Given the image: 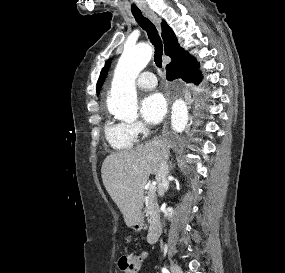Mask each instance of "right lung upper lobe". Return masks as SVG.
Returning a JSON list of instances; mask_svg holds the SVG:
<instances>
[{
	"label": "right lung upper lobe",
	"mask_w": 285,
	"mask_h": 273,
	"mask_svg": "<svg viewBox=\"0 0 285 273\" xmlns=\"http://www.w3.org/2000/svg\"><path fill=\"white\" fill-rule=\"evenodd\" d=\"M161 27L165 54L170 56L172 59L171 63L167 66L187 59L189 57L188 52L184 51V49L179 46L178 40L168 24L165 21H162Z\"/></svg>",
	"instance_id": "1"
}]
</instances>
